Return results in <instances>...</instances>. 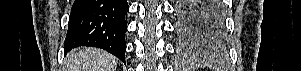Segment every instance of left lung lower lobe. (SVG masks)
Segmentation results:
<instances>
[{"instance_id": "1", "label": "left lung lower lobe", "mask_w": 301, "mask_h": 71, "mask_svg": "<svg viewBox=\"0 0 301 71\" xmlns=\"http://www.w3.org/2000/svg\"><path fill=\"white\" fill-rule=\"evenodd\" d=\"M176 10L178 34L183 42L211 49L224 47L219 0H179Z\"/></svg>"}]
</instances>
